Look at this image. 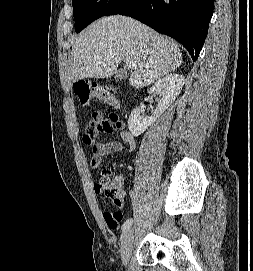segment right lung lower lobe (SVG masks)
<instances>
[{
	"mask_svg": "<svg viewBox=\"0 0 253 271\" xmlns=\"http://www.w3.org/2000/svg\"><path fill=\"white\" fill-rule=\"evenodd\" d=\"M214 0H125L116 14L135 18L182 43L198 58L213 14Z\"/></svg>",
	"mask_w": 253,
	"mask_h": 271,
	"instance_id": "1",
	"label": "right lung lower lobe"
}]
</instances>
